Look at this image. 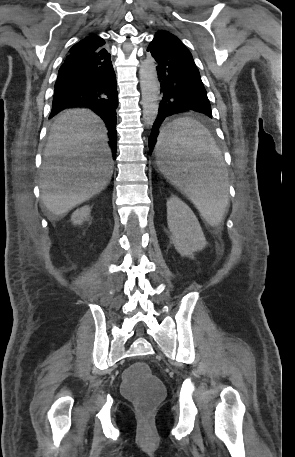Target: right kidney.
<instances>
[{
    "label": "right kidney",
    "mask_w": 295,
    "mask_h": 457,
    "mask_svg": "<svg viewBox=\"0 0 295 457\" xmlns=\"http://www.w3.org/2000/svg\"><path fill=\"white\" fill-rule=\"evenodd\" d=\"M90 214V207L89 206H84L78 210H76L72 216H71V221L73 224H82L84 221L88 220Z\"/></svg>",
    "instance_id": "right-kidney-1"
}]
</instances>
